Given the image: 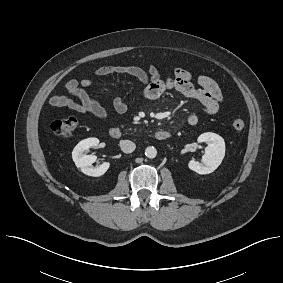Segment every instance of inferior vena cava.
Listing matches in <instances>:
<instances>
[{
    "mask_svg": "<svg viewBox=\"0 0 283 283\" xmlns=\"http://www.w3.org/2000/svg\"><path fill=\"white\" fill-rule=\"evenodd\" d=\"M120 148L124 153H132L135 150L136 145L130 140H122L120 142Z\"/></svg>",
    "mask_w": 283,
    "mask_h": 283,
    "instance_id": "602c4592",
    "label": "inferior vena cava"
}]
</instances>
